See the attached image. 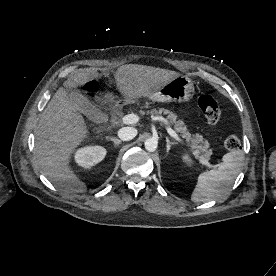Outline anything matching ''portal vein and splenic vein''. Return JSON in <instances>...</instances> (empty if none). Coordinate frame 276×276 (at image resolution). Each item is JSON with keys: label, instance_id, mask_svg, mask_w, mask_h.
Returning <instances> with one entry per match:
<instances>
[{"label": "portal vein and splenic vein", "instance_id": "18ae733b", "mask_svg": "<svg viewBox=\"0 0 276 276\" xmlns=\"http://www.w3.org/2000/svg\"><path fill=\"white\" fill-rule=\"evenodd\" d=\"M139 121V116L136 114H128L125 115L122 118V123L126 125L135 124ZM167 132L171 137H173L175 140L182 142L181 138L178 136V134L169 126L166 127ZM200 163L207 166L208 168H214V165L210 164L208 161L200 159Z\"/></svg>", "mask_w": 276, "mask_h": 276}]
</instances>
